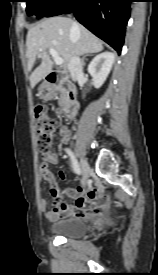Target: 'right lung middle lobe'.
I'll return each mask as SVG.
<instances>
[{"mask_svg":"<svg viewBox=\"0 0 158 275\" xmlns=\"http://www.w3.org/2000/svg\"><path fill=\"white\" fill-rule=\"evenodd\" d=\"M63 0H26L27 2V14L37 15V18L45 16L55 6L61 3Z\"/></svg>","mask_w":158,"mask_h":275,"instance_id":"1","label":"right lung middle lobe"}]
</instances>
